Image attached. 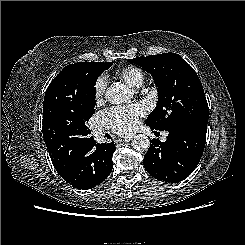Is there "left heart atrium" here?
<instances>
[{"label": "left heart atrium", "instance_id": "obj_1", "mask_svg": "<svg viewBox=\"0 0 245 245\" xmlns=\"http://www.w3.org/2000/svg\"><path fill=\"white\" fill-rule=\"evenodd\" d=\"M143 115L144 108L140 104H134L109 108L102 112L101 118L112 131L127 135L136 129L139 118Z\"/></svg>", "mask_w": 245, "mask_h": 245}]
</instances>
